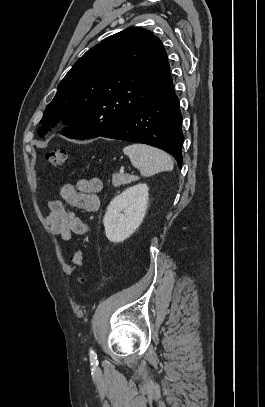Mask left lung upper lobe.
Returning <instances> with one entry per match:
<instances>
[{"label": "left lung upper lobe", "mask_w": 265, "mask_h": 407, "mask_svg": "<svg viewBox=\"0 0 265 407\" xmlns=\"http://www.w3.org/2000/svg\"><path fill=\"white\" fill-rule=\"evenodd\" d=\"M172 82L167 53L149 30L131 27L88 50L59 83L46 107V124L71 125L74 139L101 136L129 117Z\"/></svg>", "instance_id": "obj_1"}]
</instances>
